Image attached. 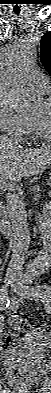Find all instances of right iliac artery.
<instances>
[{
  "label": "right iliac artery",
  "mask_w": 51,
  "mask_h": 393,
  "mask_svg": "<svg viewBox=\"0 0 51 393\" xmlns=\"http://www.w3.org/2000/svg\"><path fill=\"white\" fill-rule=\"evenodd\" d=\"M0 291H1L0 293L1 310H4L9 307V297L6 291V285H3Z\"/></svg>",
  "instance_id": "right-iliac-artery-1"
}]
</instances>
